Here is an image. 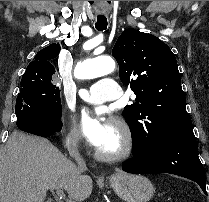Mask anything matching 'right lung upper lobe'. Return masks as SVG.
Returning <instances> with one entry per match:
<instances>
[{
	"mask_svg": "<svg viewBox=\"0 0 209 202\" xmlns=\"http://www.w3.org/2000/svg\"><path fill=\"white\" fill-rule=\"evenodd\" d=\"M59 52V44H51L48 47L40 50L27 66L23 76L37 73L53 75L55 73V68L51 63V59L55 58Z\"/></svg>",
	"mask_w": 209,
	"mask_h": 202,
	"instance_id": "obj_1",
	"label": "right lung upper lobe"
}]
</instances>
